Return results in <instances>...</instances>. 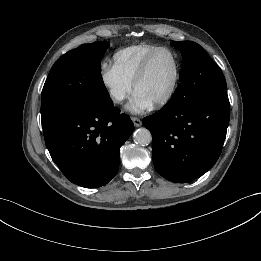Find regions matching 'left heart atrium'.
Listing matches in <instances>:
<instances>
[{
  "instance_id": "obj_1",
  "label": "left heart atrium",
  "mask_w": 261,
  "mask_h": 261,
  "mask_svg": "<svg viewBox=\"0 0 261 261\" xmlns=\"http://www.w3.org/2000/svg\"><path fill=\"white\" fill-rule=\"evenodd\" d=\"M153 103L138 91H135L126 109L132 113H142L151 108Z\"/></svg>"
}]
</instances>
